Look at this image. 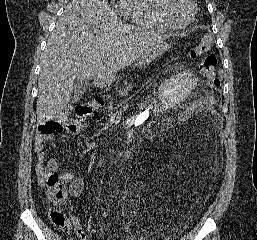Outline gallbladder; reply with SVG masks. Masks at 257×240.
Instances as JSON below:
<instances>
[{"label": "gallbladder", "mask_w": 257, "mask_h": 240, "mask_svg": "<svg viewBox=\"0 0 257 240\" xmlns=\"http://www.w3.org/2000/svg\"><path fill=\"white\" fill-rule=\"evenodd\" d=\"M87 87V81L76 79L73 87L72 101H78L86 91Z\"/></svg>", "instance_id": "gallbladder-1"}]
</instances>
